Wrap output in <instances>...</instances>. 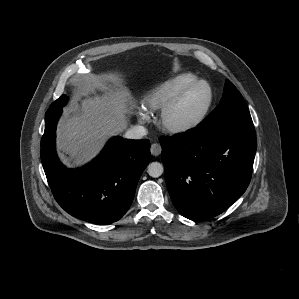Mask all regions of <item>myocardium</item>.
I'll list each match as a JSON object with an SVG mask.
<instances>
[{
  "instance_id": "1",
  "label": "myocardium",
  "mask_w": 299,
  "mask_h": 299,
  "mask_svg": "<svg viewBox=\"0 0 299 299\" xmlns=\"http://www.w3.org/2000/svg\"><path fill=\"white\" fill-rule=\"evenodd\" d=\"M198 86H205L208 90V100L200 114L193 120L186 123H173L169 120L171 112L177 107L185 95ZM214 102V91L212 86L205 80H196L182 88L164 107L160 110L158 125L159 127L171 134H184L199 127L207 118Z\"/></svg>"
}]
</instances>
